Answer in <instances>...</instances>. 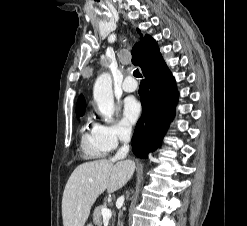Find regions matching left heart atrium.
Returning <instances> with one entry per match:
<instances>
[{
  "instance_id": "obj_1",
  "label": "left heart atrium",
  "mask_w": 247,
  "mask_h": 226,
  "mask_svg": "<svg viewBox=\"0 0 247 226\" xmlns=\"http://www.w3.org/2000/svg\"><path fill=\"white\" fill-rule=\"evenodd\" d=\"M140 114V105L135 99H127L123 105V115L127 123L134 124Z\"/></svg>"
}]
</instances>
